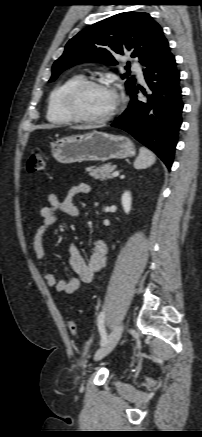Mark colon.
<instances>
[{
  "label": "colon",
  "mask_w": 202,
  "mask_h": 437,
  "mask_svg": "<svg viewBox=\"0 0 202 437\" xmlns=\"http://www.w3.org/2000/svg\"><path fill=\"white\" fill-rule=\"evenodd\" d=\"M45 161L40 149H34L28 159L27 168L29 172H40L44 169ZM68 330L72 335L77 334V325L74 320L68 321Z\"/></svg>",
  "instance_id": "colon-1"
}]
</instances>
